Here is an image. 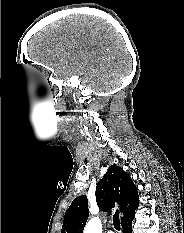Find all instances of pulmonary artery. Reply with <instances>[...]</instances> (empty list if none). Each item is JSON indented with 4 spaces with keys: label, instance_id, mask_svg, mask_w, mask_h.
<instances>
[{
    "label": "pulmonary artery",
    "instance_id": "pulmonary-artery-1",
    "mask_svg": "<svg viewBox=\"0 0 184 233\" xmlns=\"http://www.w3.org/2000/svg\"><path fill=\"white\" fill-rule=\"evenodd\" d=\"M107 233H114L112 230L107 231Z\"/></svg>",
    "mask_w": 184,
    "mask_h": 233
}]
</instances>
